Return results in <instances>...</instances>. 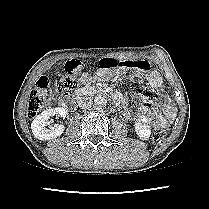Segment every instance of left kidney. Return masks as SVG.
I'll use <instances>...</instances> for the list:
<instances>
[{"label":"left kidney","instance_id":"obj_1","mask_svg":"<svg viewBox=\"0 0 209 209\" xmlns=\"http://www.w3.org/2000/svg\"><path fill=\"white\" fill-rule=\"evenodd\" d=\"M135 131L137 135L147 140L151 135V127L148 125V119L146 116H140L135 120Z\"/></svg>","mask_w":209,"mask_h":209}]
</instances>
